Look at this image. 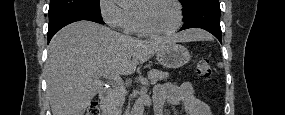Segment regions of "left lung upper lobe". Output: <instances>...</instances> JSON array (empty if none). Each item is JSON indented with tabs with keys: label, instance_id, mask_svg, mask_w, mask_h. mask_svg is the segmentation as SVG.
<instances>
[{
	"label": "left lung upper lobe",
	"instance_id": "obj_1",
	"mask_svg": "<svg viewBox=\"0 0 285 115\" xmlns=\"http://www.w3.org/2000/svg\"><path fill=\"white\" fill-rule=\"evenodd\" d=\"M183 6V14L188 12L196 4L203 2L205 0H179Z\"/></svg>",
	"mask_w": 285,
	"mask_h": 115
}]
</instances>
